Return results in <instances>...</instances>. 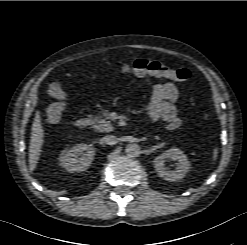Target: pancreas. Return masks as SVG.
<instances>
[{
    "instance_id": "pancreas-1",
    "label": "pancreas",
    "mask_w": 247,
    "mask_h": 245,
    "mask_svg": "<svg viewBox=\"0 0 247 245\" xmlns=\"http://www.w3.org/2000/svg\"><path fill=\"white\" fill-rule=\"evenodd\" d=\"M110 112L108 110H103L101 115L93 118V128L99 132H111L113 130L112 123L109 120Z\"/></svg>"
}]
</instances>
